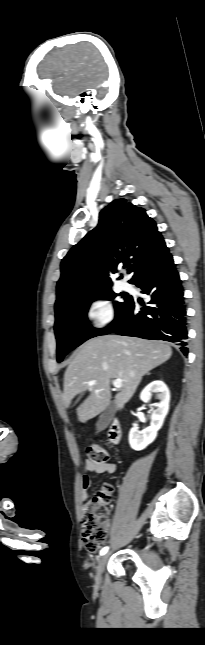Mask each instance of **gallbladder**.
<instances>
[{"label": "gallbladder", "instance_id": "gallbladder-1", "mask_svg": "<svg viewBox=\"0 0 205 645\" xmlns=\"http://www.w3.org/2000/svg\"><path fill=\"white\" fill-rule=\"evenodd\" d=\"M115 410H116L115 403L114 401H111L109 405L106 407V409L101 413L96 423V430L98 432H101L108 427V425L112 421Z\"/></svg>", "mask_w": 205, "mask_h": 645}]
</instances>
